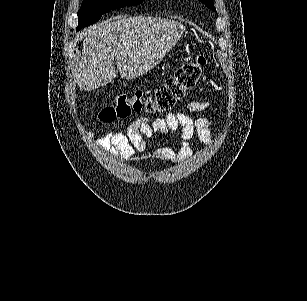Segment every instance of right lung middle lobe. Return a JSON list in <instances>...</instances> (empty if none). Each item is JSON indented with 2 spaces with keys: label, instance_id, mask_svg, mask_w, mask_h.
<instances>
[{
  "label": "right lung middle lobe",
  "instance_id": "1",
  "mask_svg": "<svg viewBox=\"0 0 307 301\" xmlns=\"http://www.w3.org/2000/svg\"><path fill=\"white\" fill-rule=\"evenodd\" d=\"M143 1L144 0H83L78 12L79 23L77 31L97 22L103 14L111 10L125 6L138 5Z\"/></svg>",
  "mask_w": 307,
  "mask_h": 301
}]
</instances>
